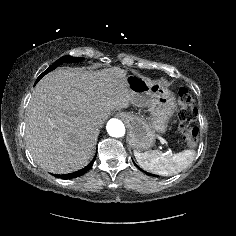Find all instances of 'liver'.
<instances>
[{
    "mask_svg": "<svg viewBox=\"0 0 236 236\" xmlns=\"http://www.w3.org/2000/svg\"><path fill=\"white\" fill-rule=\"evenodd\" d=\"M134 94L124 70H56L35 86L26 109V142L34 161L51 173H70L93 158L99 128ZM99 122L95 128L93 122Z\"/></svg>",
    "mask_w": 236,
    "mask_h": 236,
    "instance_id": "6515ba94",
    "label": "liver"
}]
</instances>
